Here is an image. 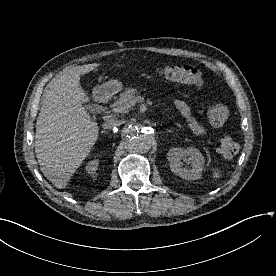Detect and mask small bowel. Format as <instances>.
Here are the masks:
<instances>
[{"mask_svg": "<svg viewBox=\"0 0 276 276\" xmlns=\"http://www.w3.org/2000/svg\"><path fill=\"white\" fill-rule=\"evenodd\" d=\"M173 106L187 121L190 129L198 135L205 134V128L193 117L189 106L182 100H175Z\"/></svg>", "mask_w": 276, "mask_h": 276, "instance_id": "c3829d8e", "label": "small bowel"}]
</instances>
